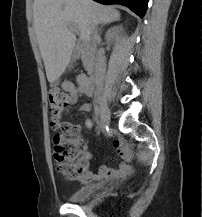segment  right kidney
Masks as SVG:
<instances>
[{
    "label": "right kidney",
    "mask_w": 202,
    "mask_h": 217,
    "mask_svg": "<svg viewBox=\"0 0 202 217\" xmlns=\"http://www.w3.org/2000/svg\"><path fill=\"white\" fill-rule=\"evenodd\" d=\"M123 31V27L122 26H114L112 28H110L107 33L105 38L108 41H113V40H117L119 38V35L121 34V32Z\"/></svg>",
    "instance_id": "obj_1"
}]
</instances>
